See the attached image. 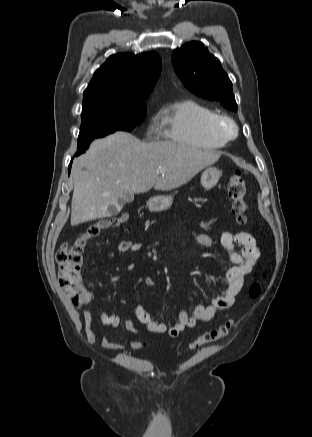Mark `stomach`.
<instances>
[{"mask_svg":"<svg viewBox=\"0 0 312 437\" xmlns=\"http://www.w3.org/2000/svg\"><path fill=\"white\" fill-rule=\"evenodd\" d=\"M221 171L216 167L206 168L201 175V184L206 190L212 189L219 181ZM173 203L170 195H159L150 198L147 202L148 208L153 212L168 210Z\"/></svg>","mask_w":312,"mask_h":437,"instance_id":"stomach-1","label":"stomach"}]
</instances>
